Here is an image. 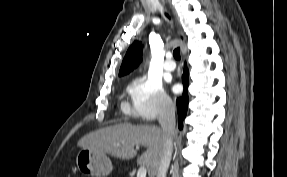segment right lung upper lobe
I'll return each instance as SVG.
<instances>
[{"mask_svg":"<svg viewBox=\"0 0 287 177\" xmlns=\"http://www.w3.org/2000/svg\"><path fill=\"white\" fill-rule=\"evenodd\" d=\"M142 49L143 45L138 41L129 47L120 67L119 76L129 73L138 66L141 62Z\"/></svg>","mask_w":287,"mask_h":177,"instance_id":"obj_1","label":"right lung upper lobe"}]
</instances>
